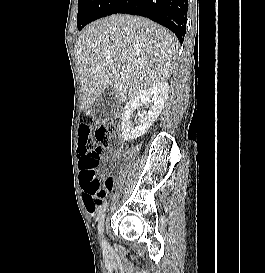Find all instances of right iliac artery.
Returning <instances> with one entry per match:
<instances>
[{
  "label": "right iliac artery",
  "mask_w": 265,
  "mask_h": 273,
  "mask_svg": "<svg viewBox=\"0 0 265 273\" xmlns=\"http://www.w3.org/2000/svg\"><path fill=\"white\" fill-rule=\"evenodd\" d=\"M108 204L107 202L103 203L100 208H99V211H98V216L102 215V213H104V211L106 210ZM102 247L106 248L107 247V243L102 240Z\"/></svg>",
  "instance_id": "right-iliac-artery-1"
}]
</instances>
